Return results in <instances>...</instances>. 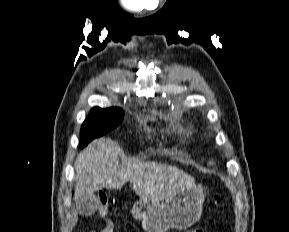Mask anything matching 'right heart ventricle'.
<instances>
[{"mask_svg":"<svg viewBox=\"0 0 289 232\" xmlns=\"http://www.w3.org/2000/svg\"><path fill=\"white\" fill-rule=\"evenodd\" d=\"M185 131H186L185 127L182 124H180L178 127V132L179 133H185Z\"/></svg>","mask_w":289,"mask_h":232,"instance_id":"1","label":"right heart ventricle"}]
</instances>
